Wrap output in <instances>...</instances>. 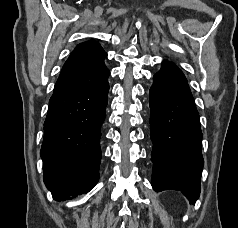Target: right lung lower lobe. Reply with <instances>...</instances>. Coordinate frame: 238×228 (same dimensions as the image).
Returning a JSON list of instances; mask_svg holds the SVG:
<instances>
[{
  "mask_svg": "<svg viewBox=\"0 0 238 228\" xmlns=\"http://www.w3.org/2000/svg\"><path fill=\"white\" fill-rule=\"evenodd\" d=\"M109 74L106 69L95 82L54 91L50 98L41 157L55 200L87 193L98 182Z\"/></svg>",
  "mask_w": 238,
  "mask_h": 228,
  "instance_id": "right-lung-lower-lobe-1",
  "label": "right lung lower lobe"
}]
</instances>
